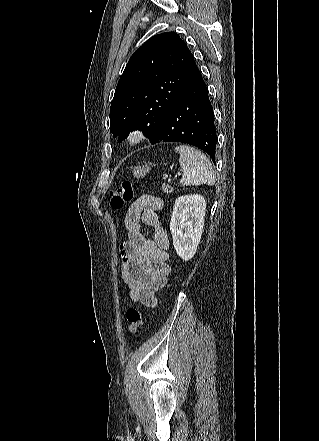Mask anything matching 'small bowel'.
<instances>
[{"mask_svg":"<svg viewBox=\"0 0 319 441\" xmlns=\"http://www.w3.org/2000/svg\"><path fill=\"white\" fill-rule=\"evenodd\" d=\"M162 206L159 197L142 195L129 206L124 219L128 239L120 246L121 276L129 287L130 299L147 307L157 305L156 294L170 273L169 239L158 216ZM142 224L153 228L152 237Z\"/></svg>","mask_w":319,"mask_h":441,"instance_id":"c3829d8e","label":"small bowel"}]
</instances>
